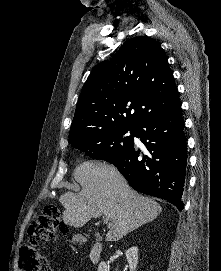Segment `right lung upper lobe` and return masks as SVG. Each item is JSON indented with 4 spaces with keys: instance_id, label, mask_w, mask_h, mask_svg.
<instances>
[{
    "instance_id": "right-lung-upper-lobe-1",
    "label": "right lung upper lobe",
    "mask_w": 221,
    "mask_h": 271,
    "mask_svg": "<svg viewBox=\"0 0 221 271\" xmlns=\"http://www.w3.org/2000/svg\"><path fill=\"white\" fill-rule=\"evenodd\" d=\"M178 104V90L160 45L147 37L132 38L89 75L69 142L115 126L137 127L145 118Z\"/></svg>"
}]
</instances>
